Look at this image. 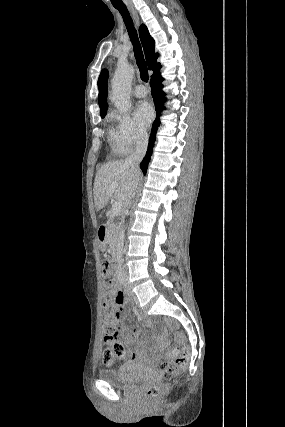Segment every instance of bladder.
I'll return each mask as SVG.
<instances>
[{
  "mask_svg": "<svg viewBox=\"0 0 285 427\" xmlns=\"http://www.w3.org/2000/svg\"><path fill=\"white\" fill-rule=\"evenodd\" d=\"M149 369L135 363H124L116 368L101 369L98 377L113 387L132 388L149 376Z\"/></svg>",
  "mask_w": 285,
  "mask_h": 427,
  "instance_id": "31cf9c89",
  "label": "bladder"
}]
</instances>
